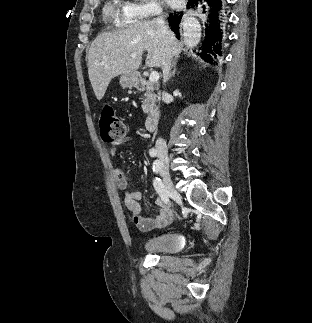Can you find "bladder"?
<instances>
[{"label": "bladder", "instance_id": "obj_1", "mask_svg": "<svg viewBox=\"0 0 312 323\" xmlns=\"http://www.w3.org/2000/svg\"><path fill=\"white\" fill-rule=\"evenodd\" d=\"M179 249L177 236L171 233H164L157 237L146 239L143 250L150 254L172 252Z\"/></svg>", "mask_w": 312, "mask_h": 323}]
</instances>
